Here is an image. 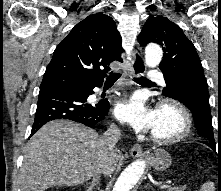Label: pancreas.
<instances>
[{"mask_svg": "<svg viewBox=\"0 0 221 191\" xmlns=\"http://www.w3.org/2000/svg\"><path fill=\"white\" fill-rule=\"evenodd\" d=\"M166 191H184V188H181V187H167Z\"/></svg>", "mask_w": 221, "mask_h": 191, "instance_id": "obj_1", "label": "pancreas"}]
</instances>
